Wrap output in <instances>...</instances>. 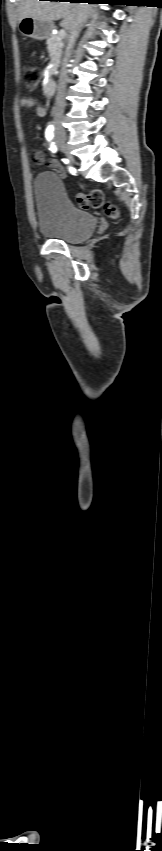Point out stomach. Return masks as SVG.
I'll return each instance as SVG.
<instances>
[{
  "label": "stomach",
  "mask_w": 162,
  "mask_h": 851,
  "mask_svg": "<svg viewBox=\"0 0 162 851\" xmlns=\"http://www.w3.org/2000/svg\"><path fill=\"white\" fill-rule=\"evenodd\" d=\"M18 28L20 33L25 37L44 40L50 35L53 29V23L36 20L32 17H25L19 21Z\"/></svg>",
  "instance_id": "0dacf381"
}]
</instances>
